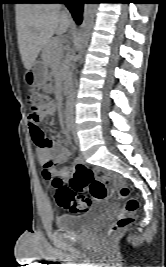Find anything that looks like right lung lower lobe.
<instances>
[{
	"label": "right lung lower lobe",
	"mask_w": 166,
	"mask_h": 267,
	"mask_svg": "<svg viewBox=\"0 0 166 267\" xmlns=\"http://www.w3.org/2000/svg\"><path fill=\"white\" fill-rule=\"evenodd\" d=\"M22 1V0H21ZM58 0H23L22 3H56ZM59 2L65 3L69 8L72 16L77 24L82 21V9L84 0H60Z\"/></svg>",
	"instance_id": "1"
}]
</instances>
